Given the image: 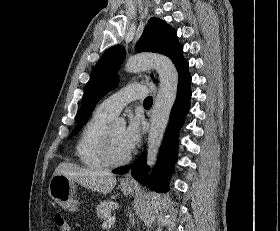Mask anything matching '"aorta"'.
I'll use <instances>...</instances> for the list:
<instances>
[{"instance_id": "1", "label": "aorta", "mask_w": 280, "mask_h": 231, "mask_svg": "<svg viewBox=\"0 0 280 231\" xmlns=\"http://www.w3.org/2000/svg\"><path fill=\"white\" fill-rule=\"evenodd\" d=\"M154 68L159 74V88L150 117V129L147 143V165H154L157 153L162 143L170 112L177 96L178 72L171 60L160 54H141L129 58L125 72H143ZM118 123H124V117H118Z\"/></svg>"}]
</instances>
